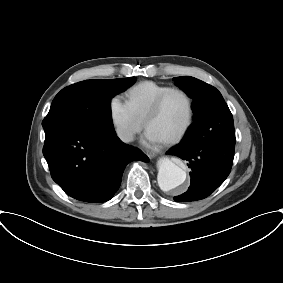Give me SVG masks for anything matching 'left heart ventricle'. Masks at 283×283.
Segmentation results:
<instances>
[{"instance_id": "left-heart-ventricle-1", "label": "left heart ventricle", "mask_w": 283, "mask_h": 283, "mask_svg": "<svg viewBox=\"0 0 283 283\" xmlns=\"http://www.w3.org/2000/svg\"><path fill=\"white\" fill-rule=\"evenodd\" d=\"M187 101L177 92L171 93L165 100L159 113L149 122L147 130L162 141L177 134L187 119Z\"/></svg>"}]
</instances>
